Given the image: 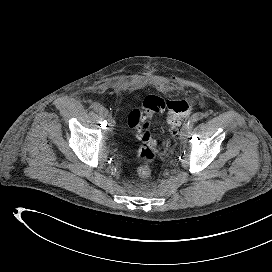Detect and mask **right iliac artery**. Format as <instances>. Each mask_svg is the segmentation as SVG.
<instances>
[{
    "label": "right iliac artery",
    "instance_id": "right-iliac-artery-1",
    "mask_svg": "<svg viewBox=\"0 0 272 272\" xmlns=\"http://www.w3.org/2000/svg\"><path fill=\"white\" fill-rule=\"evenodd\" d=\"M91 108L96 112H101L103 110V106L97 102L92 103Z\"/></svg>",
    "mask_w": 272,
    "mask_h": 272
}]
</instances>
